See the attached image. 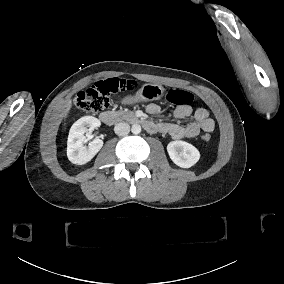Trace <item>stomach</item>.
<instances>
[{
	"label": "stomach",
	"mask_w": 284,
	"mask_h": 284,
	"mask_svg": "<svg viewBox=\"0 0 284 284\" xmlns=\"http://www.w3.org/2000/svg\"><path fill=\"white\" fill-rule=\"evenodd\" d=\"M165 88L160 84L145 83L134 94H127L121 98L123 105H135L141 102L157 101L164 97Z\"/></svg>",
	"instance_id": "1"
}]
</instances>
